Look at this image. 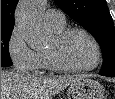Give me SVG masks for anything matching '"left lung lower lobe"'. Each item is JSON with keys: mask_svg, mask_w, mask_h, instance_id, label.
I'll return each mask as SVG.
<instances>
[{"mask_svg": "<svg viewBox=\"0 0 115 99\" xmlns=\"http://www.w3.org/2000/svg\"><path fill=\"white\" fill-rule=\"evenodd\" d=\"M108 77H115V76L113 75V76H108Z\"/></svg>", "mask_w": 115, "mask_h": 99, "instance_id": "0a47b994", "label": "left lung lower lobe"}]
</instances>
